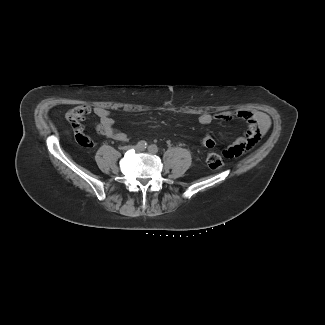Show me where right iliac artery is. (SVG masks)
Returning a JSON list of instances; mask_svg holds the SVG:
<instances>
[{
  "label": "right iliac artery",
  "instance_id": "obj_1",
  "mask_svg": "<svg viewBox=\"0 0 325 325\" xmlns=\"http://www.w3.org/2000/svg\"><path fill=\"white\" fill-rule=\"evenodd\" d=\"M137 147L140 149H145L147 147V143L144 140H141L137 143Z\"/></svg>",
  "mask_w": 325,
  "mask_h": 325
}]
</instances>
